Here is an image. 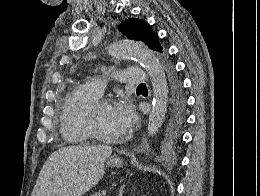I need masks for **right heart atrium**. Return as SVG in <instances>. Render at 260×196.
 <instances>
[{"instance_id": "obj_1", "label": "right heart atrium", "mask_w": 260, "mask_h": 196, "mask_svg": "<svg viewBox=\"0 0 260 196\" xmlns=\"http://www.w3.org/2000/svg\"><path fill=\"white\" fill-rule=\"evenodd\" d=\"M126 163V162H125ZM73 190H56V192H72Z\"/></svg>"}]
</instances>
